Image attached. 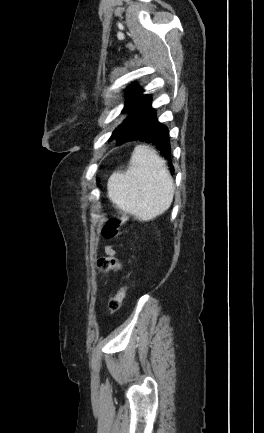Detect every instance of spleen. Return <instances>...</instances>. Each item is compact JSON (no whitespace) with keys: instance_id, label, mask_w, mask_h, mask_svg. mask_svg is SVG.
<instances>
[{"instance_id":"1","label":"spleen","mask_w":264,"mask_h":433,"mask_svg":"<svg viewBox=\"0 0 264 433\" xmlns=\"http://www.w3.org/2000/svg\"><path fill=\"white\" fill-rule=\"evenodd\" d=\"M108 197L118 209L149 221L169 209L174 183L163 158L146 145L135 147L129 165L107 183Z\"/></svg>"}]
</instances>
